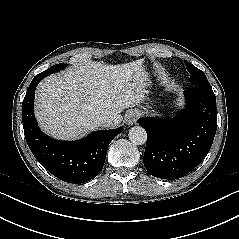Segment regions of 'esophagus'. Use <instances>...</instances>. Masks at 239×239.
Returning <instances> with one entry per match:
<instances>
[{
    "mask_svg": "<svg viewBox=\"0 0 239 239\" xmlns=\"http://www.w3.org/2000/svg\"><path fill=\"white\" fill-rule=\"evenodd\" d=\"M138 119V112L135 110L129 111L125 116V123L127 125H133Z\"/></svg>",
    "mask_w": 239,
    "mask_h": 239,
    "instance_id": "1",
    "label": "esophagus"
}]
</instances>
